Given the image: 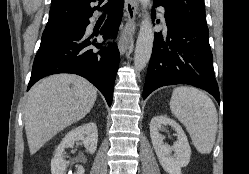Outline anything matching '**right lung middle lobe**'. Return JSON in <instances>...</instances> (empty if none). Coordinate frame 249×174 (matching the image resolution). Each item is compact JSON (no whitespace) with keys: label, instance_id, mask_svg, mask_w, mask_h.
I'll return each instance as SVG.
<instances>
[{"label":"right lung middle lobe","instance_id":"dd1d6c3e","mask_svg":"<svg viewBox=\"0 0 249 174\" xmlns=\"http://www.w3.org/2000/svg\"><path fill=\"white\" fill-rule=\"evenodd\" d=\"M63 24H60V25H56V26H52V27H46L43 34H42V39H41V42H44V41H47L51 36L52 34L57 31L59 28H61Z\"/></svg>","mask_w":249,"mask_h":174}]
</instances>
